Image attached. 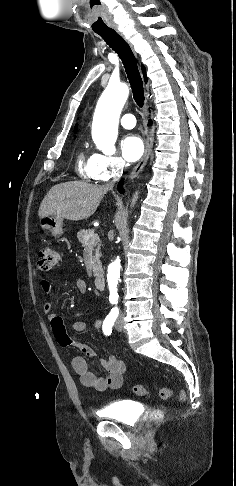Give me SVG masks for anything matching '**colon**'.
<instances>
[{
	"mask_svg": "<svg viewBox=\"0 0 236 486\" xmlns=\"http://www.w3.org/2000/svg\"><path fill=\"white\" fill-rule=\"evenodd\" d=\"M59 261V253L58 251L52 246H45L39 252V259H38V266L42 270H50L54 266L57 265ZM134 392L136 395L145 397L149 395L148 389L143 385H136L134 387ZM173 395V390L170 388H162L158 396L160 399L166 400ZM179 399H185V393L180 391ZM163 417V413L161 410L156 409L150 415V421L157 422L160 421Z\"/></svg>",
	"mask_w": 236,
	"mask_h": 486,
	"instance_id": "5ec220e1",
	"label": "colon"
}]
</instances>
